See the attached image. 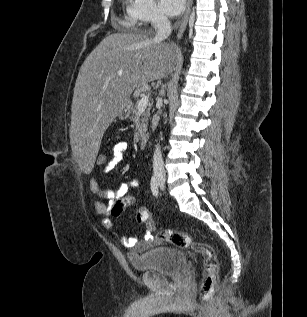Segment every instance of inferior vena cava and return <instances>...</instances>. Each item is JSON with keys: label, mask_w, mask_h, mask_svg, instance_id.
I'll return each mask as SVG.
<instances>
[{"label": "inferior vena cava", "mask_w": 307, "mask_h": 317, "mask_svg": "<svg viewBox=\"0 0 307 317\" xmlns=\"http://www.w3.org/2000/svg\"><path fill=\"white\" fill-rule=\"evenodd\" d=\"M153 24L157 31L154 38L156 42L166 39L171 34V23L165 15H158ZM153 172L155 175H164L165 173L164 162L159 146H156V150L153 155Z\"/></svg>", "instance_id": "1"}]
</instances>
